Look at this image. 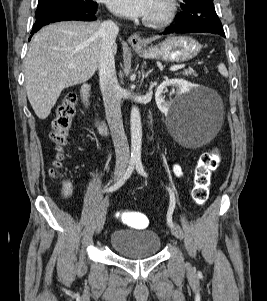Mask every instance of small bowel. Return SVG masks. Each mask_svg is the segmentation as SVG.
<instances>
[{
	"mask_svg": "<svg viewBox=\"0 0 267 301\" xmlns=\"http://www.w3.org/2000/svg\"><path fill=\"white\" fill-rule=\"evenodd\" d=\"M173 171L175 173L176 176L178 177H182L183 176V171L180 165L178 164H174L173 165Z\"/></svg>",
	"mask_w": 267,
	"mask_h": 301,
	"instance_id": "c3829d8e",
	"label": "small bowel"
}]
</instances>
